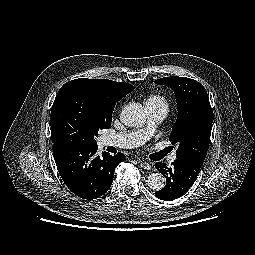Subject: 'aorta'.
Wrapping results in <instances>:
<instances>
[{"instance_id":"obj_1","label":"aorta","mask_w":255,"mask_h":255,"mask_svg":"<svg viewBox=\"0 0 255 255\" xmlns=\"http://www.w3.org/2000/svg\"><path fill=\"white\" fill-rule=\"evenodd\" d=\"M120 120L129 127L142 125L145 121L143 106L136 102L127 104L121 112ZM147 183L149 188L154 191H159L166 185V178L159 172L152 173L148 176Z\"/></svg>"}]
</instances>
